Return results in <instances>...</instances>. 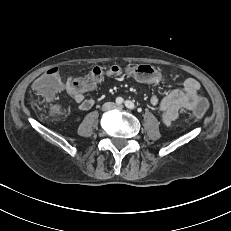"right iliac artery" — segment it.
Segmentation results:
<instances>
[{"mask_svg": "<svg viewBox=\"0 0 231 231\" xmlns=\"http://www.w3.org/2000/svg\"><path fill=\"white\" fill-rule=\"evenodd\" d=\"M116 103L119 104V105H121L123 103V98L122 97H118L116 99Z\"/></svg>", "mask_w": 231, "mask_h": 231, "instance_id": "1", "label": "right iliac artery"}]
</instances>
